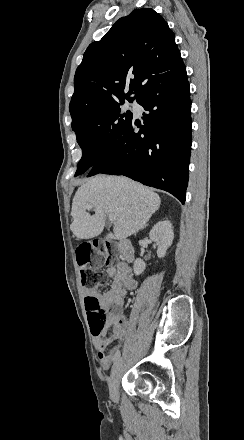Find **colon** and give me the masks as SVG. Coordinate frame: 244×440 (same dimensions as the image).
<instances>
[{
	"label": "colon",
	"mask_w": 244,
	"mask_h": 440,
	"mask_svg": "<svg viewBox=\"0 0 244 440\" xmlns=\"http://www.w3.org/2000/svg\"><path fill=\"white\" fill-rule=\"evenodd\" d=\"M121 254L118 248H101V243L97 240L85 243L80 248H76L73 260L79 262L78 269L81 274H85V286L89 293L86 296V304L83 306L86 319H104L105 311L100 310L99 304H95L97 296L94 294L98 286L105 284L103 268L106 264V257H113L115 260ZM110 314H121V305H110ZM120 318L117 324H122Z\"/></svg>",
	"instance_id": "obj_1"
}]
</instances>
